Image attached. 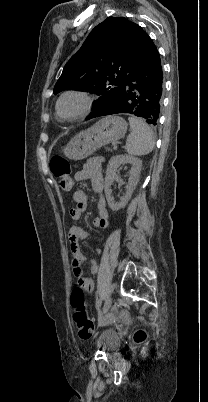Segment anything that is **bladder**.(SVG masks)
<instances>
[{
  "label": "bladder",
  "mask_w": 208,
  "mask_h": 402,
  "mask_svg": "<svg viewBox=\"0 0 208 402\" xmlns=\"http://www.w3.org/2000/svg\"><path fill=\"white\" fill-rule=\"evenodd\" d=\"M121 339L119 335H116L114 332L102 331L100 338L97 341V345L101 347L103 350H114L119 347Z\"/></svg>",
  "instance_id": "31cf9c89"
}]
</instances>
